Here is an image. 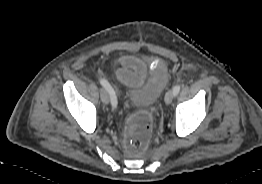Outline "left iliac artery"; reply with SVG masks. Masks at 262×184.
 <instances>
[{
  "label": "left iliac artery",
  "instance_id": "1",
  "mask_svg": "<svg viewBox=\"0 0 262 184\" xmlns=\"http://www.w3.org/2000/svg\"><path fill=\"white\" fill-rule=\"evenodd\" d=\"M180 89H181L180 85L174 86V88H173L174 96H176L179 93Z\"/></svg>",
  "mask_w": 262,
  "mask_h": 184
}]
</instances>
